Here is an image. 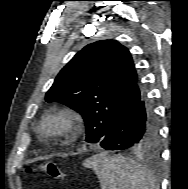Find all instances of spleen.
Returning <instances> with one entry per match:
<instances>
[{"label": "spleen", "mask_w": 188, "mask_h": 189, "mask_svg": "<svg viewBox=\"0 0 188 189\" xmlns=\"http://www.w3.org/2000/svg\"><path fill=\"white\" fill-rule=\"evenodd\" d=\"M83 165L94 170L101 189H157L155 178L144 166L120 155L101 152Z\"/></svg>", "instance_id": "3e777b00"}]
</instances>
